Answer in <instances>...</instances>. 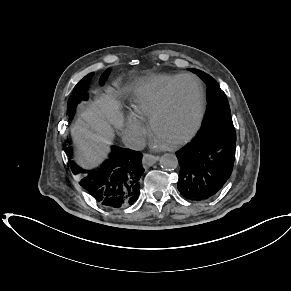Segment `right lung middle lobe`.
<instances>
[{
    "mask_svg": "<svg viewBox=\"0 0 291 291\" xmlns=\"http://www.w3.org/2000/svg\"><path fill=\"white\" fill-rule=\"evenodd\" d=\"M109 73V70L105 71L101 78L100 83L103 84L105 79L107 78V75ZM94 73H90L87 76H85L82 80L78 82V84L75 86L72 95L70 96L67 104L68 109V115H69V121H72L75 116V111L78 103L81 100H86L88 98L86 91H87V85L91 78L93 77Z\"/></svg>",
    "mask_w": 291,
    "mask_h": 291,
    "instance_id": "right-lung-middle-lobe-1",
    "label": "right lung middle lobe"
}]
</instances>
